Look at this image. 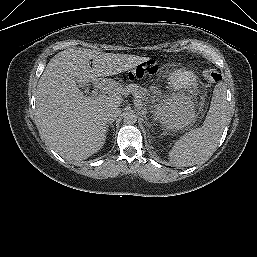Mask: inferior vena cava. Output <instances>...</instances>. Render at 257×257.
Segmentation results:
<instances>
[{
	"label": "inferior vena cava",
	"instance_id": "602c4592",
	"mask_svg": "<svg viewBox=\"0 0 257 257\" xmlns=\"http://www.w3.org/2000/svg\"><path fill=\"white\" fill-rule=\"evenodd\" d=\"M121 114V110L118 107H111L104 112V119L108 122L116 120Z\"/></svg>",
	"mask_w": 257,
	"mask_h": 257
}]
</instances>
